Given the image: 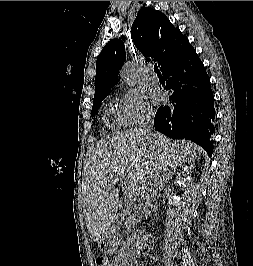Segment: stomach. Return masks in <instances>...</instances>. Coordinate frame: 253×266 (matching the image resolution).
<instances>
[{"instance_id":"0dacf381","label":"stomach","mask_w":253,"mask_h":266,"mask_svg":"<svg viewBox=\"0 0 253 266\" xmlns=\"http://www.w3.org/2000/svg\"><path fill=\"white\" fill-rule=\"evenodd\" d=\"M117 245V241L113 238V236L109 233L104 235L99 241H98V247L99 249L104 253H110L114 250V248Z\"/></svg>"}]
</instances>
